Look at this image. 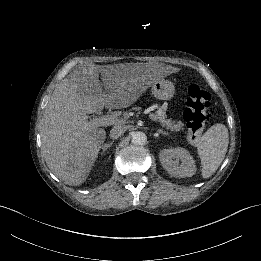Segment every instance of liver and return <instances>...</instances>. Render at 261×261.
<instances>
[{
    "label": "liver",
    "instance_id": "liver-1",
    "mask_svg": "<svg viewBox=\"0 0 261 261\" xmlns=\"http://www.w3.org/2000/svg\"><path fill=\"white\" fill-rule=\"evenodd\" d=\"M166 74L159 65L142 64L84 65L72 71L52 93L40 121L42 155L52 173L66 185L83 184L107 134L98 117L90 123L88 114L133 105Z\"/></svg>",
    "mask_w": 261,
    "mask_h": 261
}]
</instances>
